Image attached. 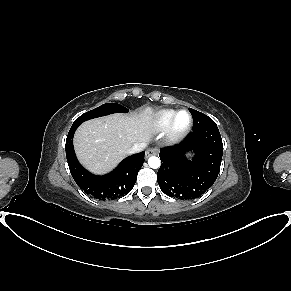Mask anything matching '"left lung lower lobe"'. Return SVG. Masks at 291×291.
Here are the masks:
<instances>
[{
  "label": "left lung lower lobe",
  "mask_w": 291,
  "mask_h": 291,
  "mask_svg": "<svg viewBox=\"0 0 291 291\" xmlns=\"http://www.w3.org/2000/svg\"><path fill=\"white\" fill-rule=\"evenodd\" d=\"M192 153V159L187 154ZM223 143L216 124L193 129L180 143L160 150L157 173L161 190L168 196L190 200L204 194L220 171Z\"/></svg>",
  "instance_id": "obj_1"
}]
</instances>
